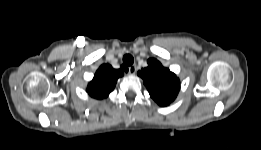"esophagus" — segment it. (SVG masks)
<instances>
[{
  "mask_svg": "<svg viewBox=\"0 0 261 150\" xmlns=\"http://www.w3.org/2000/svg\"><path fill=\"white\" fill-rule=\"evenodd\" d=\"M128 71H129L130 75H134L137 71V68H136L135 65H132V66L129 67Z\"/></svg>",
  "mask_w": 261,
  "mask_h": 150,
  "instance_id": "1",
  "label": "esophagus"
}]
</instances>
